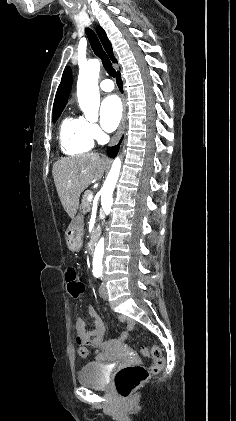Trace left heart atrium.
<instances>
[{
    "label": "left heart atrium",
    "mask_w": 236,
    "mask_h": 421,
    "mask_svg": "<svg viewBox=\"0 0 236 421\" xmlns=\"http://www.w3.org/2000/svg\"><path fill=\"white\" fill-rule=\"evenodd\" d=\"M122 117V105L116 95L106 96L101 103V125L107 132L114 131Z\"/></svg>",
    "instance_id": "obj_1"
}]
</instances>
